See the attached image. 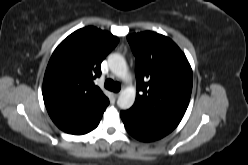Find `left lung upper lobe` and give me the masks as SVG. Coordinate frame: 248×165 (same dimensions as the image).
Here are the masks:
<instances>
[{
    "instance_id": "5c2ea615",
    "label": "left lung upper lobe",
    "mask_w": 248,
    "mask_h": 165,
    "mask_svg": "<svg viewBox=\"0 0 248 165\" xmlns=\"http://www.w3.org/2000/svg\"><path fill=\"white\" fill-rule=\"evenodd\" d=\"M136 57L137 94L129 109L177 127L188 107L193 75L180 48L168 37L146 31L127 36Z\"/></svg>"
}]
</instances>
